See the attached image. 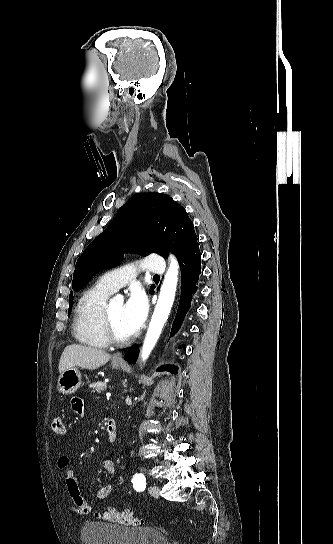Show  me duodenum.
Segmentation results:
<instances>
[{"label":"duodenum","instance_id":"410a0bca","mask_svg":"<svg viewBox=\"0 0 333 544\" xmlns=\"http://www.w3.org/2000/svg\"><path fill=\"white\" fill-rule=\"evenodd\" d=\"M116 424L113 420H108L106 423V438L108 442H113L116 437Z\"/></svg>","mask_w":333,"mask_h":544}]
</instances>
